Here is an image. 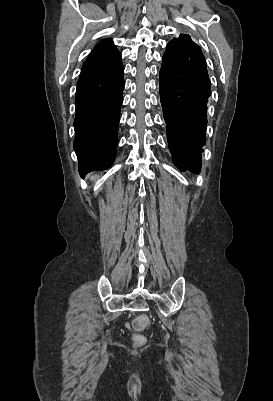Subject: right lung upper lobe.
<instances>
[{
    "label": "right lung upper lobe",
    "mask_w": 273,
    "mask_h": 401,
    "mask_svg": "<svg viewBox=\"0 0 273 401\" xmlns=\"http://www.w3.org/2000/svg\"><path fill=\"white\" fill-rule=\"evenodd\" d=\"M120 58L121 54L114 46L113 41L111 39L102 40L86 59L80 76L107 67Z\"/></svg>",
    "instance_id": "obj_1"
}]
</instances>
